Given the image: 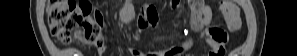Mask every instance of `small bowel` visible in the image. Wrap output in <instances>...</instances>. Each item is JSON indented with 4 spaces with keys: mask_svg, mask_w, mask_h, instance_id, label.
Here are the masks:
<instances>
[{
    "mask_svg": "<svg viewBox=\"0 0 297 56\" xmlns=\"http://www.w3.org/2000/svg\"><path fill=\"white\" fill-rule=\"evenodd\" d=\"M190 8L192 12L191 16V27L194 31L201 32V36L204 41L211 47L213 52L222 51L224 53L225 47L228 43V33L226 30L219 27H209V24L212 20V9L211 7L203 1H190ZM179 1H172V6L174 8L178 7ZM227 28L230 31L236 30L237 22V12L235 7L232 4H227L224 13H223ZM119 17L121 21L125 24L130 23L135 17L134 6L131 0H124L120 9ZM158 17L156 10L152 6L146 7L138 20V25L140 28H146L148 26H153L157 23ZM190 43L187 42L183 47H175L162 56H177L181 55L183 50L189 47ZM105 50V47H99V53H102ZM156 55V54H152Z\"/></svg>",
    "mask_w": 297,
    "mask_h": 56,
    "instance_id": "1",
    "label": "small bowel"
}]
</instances>
